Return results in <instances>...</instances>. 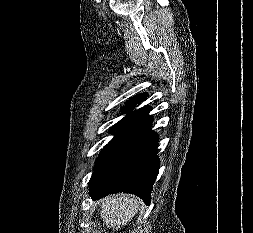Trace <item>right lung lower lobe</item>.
Here are the masks:
<instances>
[{
  "label": "right lung lower lobe",
  "mask_w": 253,
  "mask_h": 233,
  "mask_svg": "<svg viewBox=\"0 0 253 233\" xmlns=\"http://www.w3.org/2000/svg\"><path fill=\"white\" fill-rule=\"evenodd\" d=\"M148 113V107L131 112L100 153L90 180L92 199L124 192L150 204L160 163L156 152L158 135L150 131L153 117Z\"/></svg>",
  "instance_id": "98d812e1"
}]
</instances>
